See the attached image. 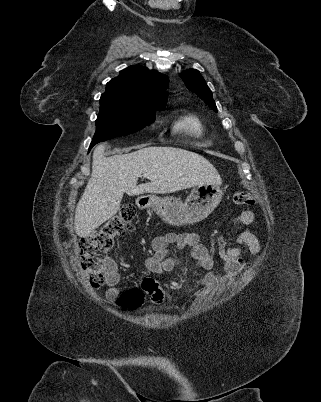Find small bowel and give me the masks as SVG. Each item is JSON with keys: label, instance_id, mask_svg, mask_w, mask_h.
<instances>
[{"label": "small bowel", "instance_id": "1", "mask_svg": "<svg viewBox=\"0 0 321 402\" xmlns=\"http://www.w3.org/2000/svg\"><path fill=\"white\" fill-rule=\"evenodd\" d=\"M256 220V215L252 210H243L233 217L232 223L236 226L249 227L254 225ZM172 244H175L178 249H188L190 251L196 273L208 271L206 274L199 275L196 280V285L204 289L214 286L222 278L236 277L242 271L248 269V265L245 264L241 256V246L247 247L253 254H258L260 251V244L249 228L242 230L238 234L236 245H227L222 237H218L216 239L218 254L223 261V272L220 273L212 270L213 257L198 234L168 233L155 238L153 241L154 253L147 257L144 262V268L148 273L161 274L176 268L178 265L177 258L169 256V246ZM106 269L108 286L106 297L109 300H113L120 292L121 274L112 260L106 261ZM142 286L150 295L154 304H161L168 298L164 289L151 279H144Z\"/></svg>", "mask_w": 321, "mask_h": 402}]
</instances>
